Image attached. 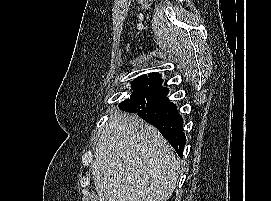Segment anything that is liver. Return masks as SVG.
I'll return each instance as SVG.
<instances>
[{"label":"liver","instance_id":"1","mask_svg":"<svg viewBox=\"0 0 271 201\" xmlns=\"http://www.w3.org/2000/svg\"><path fill=\"white\" fill-rule=\"evenodd\" d=\"M179 170L173 148L137 115L115 113L96 138L92 176L99 201H167Z\"/></svg>","mask_w":271,"mask_h":201}]
</instances>
